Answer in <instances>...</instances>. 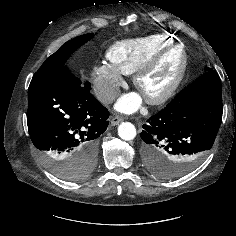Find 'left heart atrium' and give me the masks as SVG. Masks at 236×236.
Returning a JSON list of instances; mask_svg holds the SVG:
<instances>
[{"label":"left heart atrium","instance_id":"left-heart-atrium-1","mask_svg":"<svg viewBox=\"0 0 236 236\" xmlns=\"http://www.w3.org/2000/svg\"><path fill=\"white\" fill-rule=\"evenodd\" d=\"M141 103L140 96L134 93L124 95L116 104V109L124 113L136 111Z\"/></svg>","mask_w":236,"mask_h":236}]
</instances>
